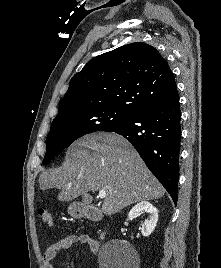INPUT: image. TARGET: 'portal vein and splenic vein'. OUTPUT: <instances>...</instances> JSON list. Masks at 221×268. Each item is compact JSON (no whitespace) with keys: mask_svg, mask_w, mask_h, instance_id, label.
Wrapping results in <instances>:
<instances>
[{"mask_svg":"<svg viewBox=\"0 0 221 268\" xmlns=\"http://www.w3.org/2000/svg\"><path fill=\"white\" fill-rule=\"evenodd\" d=\"M98 197L101 198V199L105 198L106 197V191L105 190H100Z\"/></svg>","mask_w":221,"mask_h":268,"instance_id":"1","label":"portal vein and splenic vein"}]
</instances>
